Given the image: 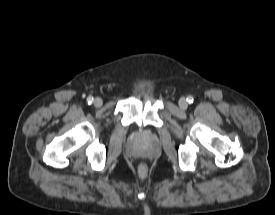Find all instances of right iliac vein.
Segmentation results:
<instances>
[{"instance_id": "obj_1", "label": "right iliac vein", "mask_w": 275, "mask_h": 215, "mask_svg": "<svg viewBox=\"0 0 275 215\" xmlns=\"http://www.w3.org/2000/svg\"><path fill=\"white\" fill-rule=\"evenodd\" d=\"M93 104H94L95 107L98 108V107H101V106H102L103 101H102L101 98L97 97V98L94 99Z\"/></svg>"}]
</instances>
